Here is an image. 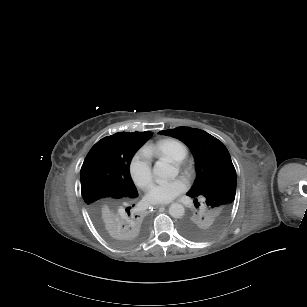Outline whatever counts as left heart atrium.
I'll return each mask as SVG.
<instances>
[{
  "label": "left heart atrium",
  "mask_w": 307,
  "mask_h": 307,
  "mask_svg": "<svg viewBox=\"0 0 307 307\" xmlns=\"http://www.w3.org/2000/svg\"><path fill=\"white\" fill-rule=\"evenodd\" d=\"M184 187V182L181 180L154 181L146 186L145 197L151 204H167L174 200Z\"/></svg>",
  "instance_id": "left-heart-atrium-1"
}]
</instances>
